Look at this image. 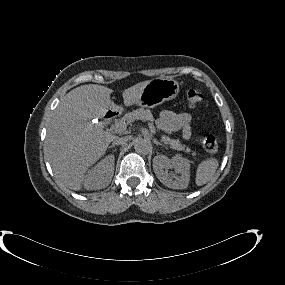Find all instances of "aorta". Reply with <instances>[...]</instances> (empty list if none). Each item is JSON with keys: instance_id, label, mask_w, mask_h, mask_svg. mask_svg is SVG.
<instances>
[{"instance_id": "762f6f07", "label": "aorta", "mask_w": 285, "mask_h": 285, "mask_svg": "<svg viewBox=\"0 0 285 285\" xmlns=\"http://www.w3.org/2000/svg\"><path fill=\"white\" fill-rule=\"evenodd\" d=\"M134 148L137 153L146 155L151 151L152 145L146 138H137L134 143Z\"/></svg>"}]
</instances>
